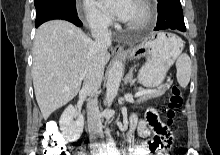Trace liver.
<instances>
[{
	"instance_id": "liver-1",
	"label": "liver",
	"mask_w": 220,
	"mask_h": 155,
	"mask_svg": "<svg viewBox=\"0 0 220 155\" xmlns=\"http://www.w3.org/2000/svg\"><path fill=\"white\" fill-rule=\"evenodd\" d=\"M91 44L92 40L80 28L67 21L52 20L37 29L32 77L44 119L78 94ZM109 58L107 53L106 62Z\"/></svg>"
}]
</instances>
